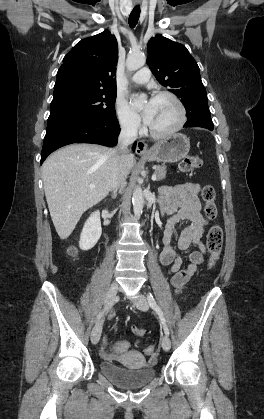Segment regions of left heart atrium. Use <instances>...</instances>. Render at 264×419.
<instances>
[{
  "label": "left heart atrium",
  "instance_id": "1",
  "mask_svg": "<svg viewBox=\"0 0 264 419\" xmlns=\"http://www.w3.org/2000/svg\"><path fill=\"white\" fill-rule=\"evenodd\" d=\"M154 115V99H150L147 101L144 110L142 112V116L144 121L150 125Z\"/></svg>",
  "mask_w": 264,
  "mask_h": 419
}]
</instances>
